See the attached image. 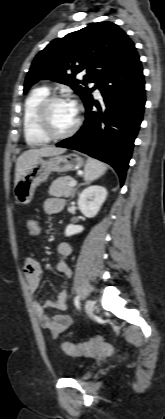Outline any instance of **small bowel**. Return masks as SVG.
<instances>
[{
  "label": "small bowel",
  "mask_w": 165,
  "mask_h": 419,
  "mask_svg": "<svg viewBox=\"0 0 165 419\" xmlns=\"http://www.w3.org/2000/svg\"><path fill=\"white\" fill-rule=\"evenodd\" d=\"M65 207V201L60 198H48L43 204L46 214L54 215L60 213ZM29 231V230H28ZM40 232V227L35 233H29L32 236H37ZM57 261L56 270L65 277L71 276V269L67 263V259L72 254V247L68 243H60L57 246ZM42 267L40 262L34 256L26 259L24 266L25 281L28 292L34 296L39 288L40 276ZM68 291L63 288L54 300H46L41 303L38 301L33 302L35 313L38 317L41 327L51 333L55 338L59 337L61 333L67 330L73 324V318L65 315L63 312L67 309ZM55 310V314H49L48 310Z\"/></svg>",
  "instance_id": "obj_1"
}]
</instances>
